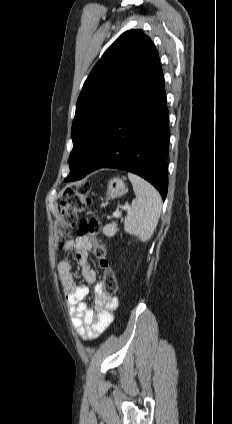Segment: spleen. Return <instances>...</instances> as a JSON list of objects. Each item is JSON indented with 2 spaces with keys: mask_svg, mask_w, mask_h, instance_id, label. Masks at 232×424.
I'll return each instance as SVG.
<instances>
[{
  "mask_svg": "<svg viewBox=\"0 0 232 424\" xmlns=\"http://www.w3.org/2000/svg\"><path fill=\"white\" fill-rule=\"evenodd\" d=\"M136 199L132 201L124 220L125 232L135 235L142 242L148 241L154 233L162 208L158 191L146 180L128 173Z\"/></svg>",
  "mask_w": 232,
  "mask_h": 424,
  "instance_id": "3e777b00",
  "label": "spleen"
}]
</instances>
